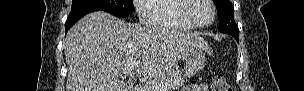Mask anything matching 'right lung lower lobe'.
Listing matches in <instances>:
<instances>
[{"mask_svg": "<svg viewBox=\"0 0 304 91\" xmlns=\"http://www.w3.org/2000/svg\"><path fill=\"white\" fill-rule=\"evenodd\" d=\"M94 11H100V10L98 8L90 7V6L72 8L65 22V31H66L65 34H67L68 30L83 16Z\"/></svg>", "mask_w": 304, "mask_h": 91, "instance_id": "right-lung-lower-lobe-1", "label": "right lung lower lobe"}]
</instances>
